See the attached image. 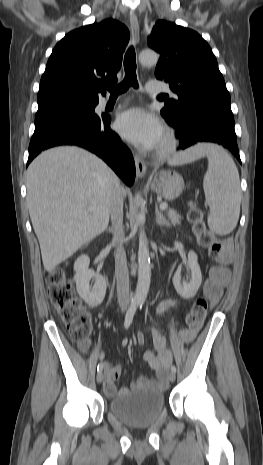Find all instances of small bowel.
I'll return each mask as SVG.
<instances>
[{
    "instance_id": "c3829d8e",
    "label": "small bowel",
    "mask_w": 263,
    "mask_h": 465,
    "mask_svg": "<svg viewBox=\"0 0 263 465\" xmlns=\"http://www.w3.org/2000/svg\"><path fill=\"white\" fill-rule=\"evenodd\" d=\"M220 262L219 266L213 267L210 270L209 277L203 285V292L209 296L212 303L218 302L222 295L223 287L227 284L230 271L228 264L230 262V252L225 250L218 256ZM176 303L175 299L167 298L163 300L157 307V314H161L168 308L174 306ZM206 322H201L198 326L200 334H205ZM196 335V330H182L181 338L183 341H191ZM153 344L156 349V353L153 351H146L143 354L144 360L149 366L155 371L156 378L150 379L147 377H140L134 383V386L138 387H150L155 389L164 388L167 384V370L168 366L172 361V355L166 348V342L164 336L156 329L152 332ZM137 341L139 344H143L145 341L144 335L139 333L137 335ZM122 373V365L118 363L116 366L105 365V382L104 392L107 396L113 397L127 391L126 388L117 390L114 382L120 377Z\"/></svg>"
}]
</instances>
